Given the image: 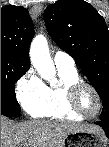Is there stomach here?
<instances>
[{
  "mask_svg": "<svg viewBox=\"0 0 109 147\" xmlns=\"http://www.w3.org/2000/svg\"><path fill=\"white\" fill-rule=\"evenodd\" d=\"M108 147L105 134L75 131L67 135L64 147Z\"/></svg>",
  "mask_w": 109,
  "mask_h": 147,
  "instance_id": "obj_1",
  "label": "stomach"
}]
</instances>
